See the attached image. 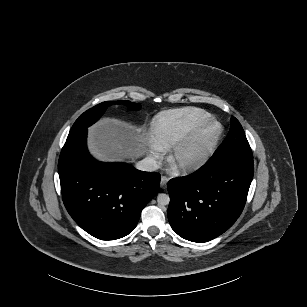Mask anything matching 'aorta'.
<instances>
[{"mask_svg":"<svg viewBox=\"0 0 307 307\" xmlns=\"http://www.w3.org/2000/svg\"><path fill=\"white\" fill-rule=\"evenodd\" d=\"M169 201H170V197L167 194L161 193L157 196V202L159 205H162V206L167 205L169 204Z\"/></svg>","mask_w":307,"mask_h":307,"instance_id":"obj_1","label":"aorta"}]
</instances>
